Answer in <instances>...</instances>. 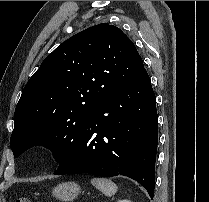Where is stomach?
Here are the masks:
<instances>
[{"label":"stomach","mask_w":209,"mask_h":202,"mask_svg":"<svg viewBox=\"0 0 209 202\" xmlns=\"http://www.w3.org/2000/svg\"><path fill=\"white\" fill-rule=\"evenodd\" d=\"M80 190L77 183L64 182L53 188L52 195L63 202H70L79 195Z\"/></svg>","instance_id":"obj_1"}]
</instances>
